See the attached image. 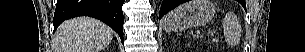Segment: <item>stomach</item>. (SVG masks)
I'll use <instances>...</instances> for the list:
<instances>
[{"instance_id": "0dacf381", "label": "stomach", "mask_w": 305, "mask_h": 52, "mask_svg": "<svg viewBox=\"0 0 305 52\" xmlns=\"http://www.w3.org/2000/svg\"><path fill=\"white\" fill-rule=\"evenodd\" d=\"M215 5L209 0H191L169 12L163 19L167 31L182 32L190 27L202 26L215 15Z\"/></svg>"}]
</instances>
